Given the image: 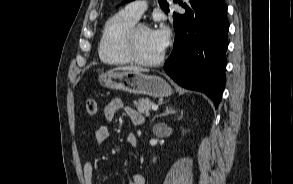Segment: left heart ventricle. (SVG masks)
Here are the masks:
<instances>
[{
	"instance_id": "1",
	"label": "left heart ventricle",
	"mask_w": 293,
	"mask_h": 184,
	"mask_svg": "<svg viewBox=\"0 0 293 184\" xmlns=\"http://www.w3.org/2000/svg\"><path fill=\"white\" fill-rule=\"evenodd\" d=\"M136 52L142 59L151 60L160 55L162 50L155 43L150 29H140L135 37Z\"/></svg>"
}]
</instances>
